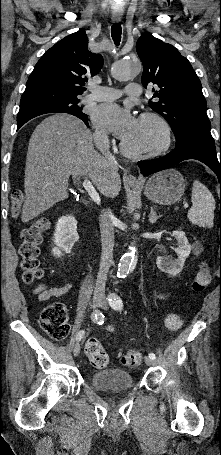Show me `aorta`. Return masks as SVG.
Segmentation results:
<instances>
[{
  "label": "aorta",
  "mask_w": 221,
  "mask_h": 455,
  "mask_svg": "<svg viewBox=\"0 0 221 455\" xmlns=\"http://www.w3.org/2000/svg\"><path fill=\"white\" fill-rule=\"evenodd\" d=\"M142 70L141 63L136 59H125L116 62L112 67V76L118 81H126L138 75ZM135 240L130 243L128 251L121 257L118 264L117 275L119 277L126 276L132 271L137 262V254Z\"/></svg>",
  "instance_id": "obj_1"
}]
</instances>
